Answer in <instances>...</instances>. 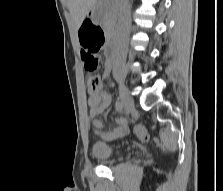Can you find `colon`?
Wrapping results in <instances>:
<instances>
[{
  "label": "colon",
  "instance_id": "5ec220e1",
  "mask_svg": "<svg viewBox=\"0 0 223 191\" xmlns=\"http://www.w3.org/2000/svg\"><path fill=\"white\" fill-rule=\"evenodd\" d=\"M79 37L82 45L81 59L85 69L91 73L88 78V87L95 90L100 85V78L95 71L100 62L98 52L104 43V34L99 28L85 27L81 29ZM134 131L142 141H150L143 127L136 126Z\"/></svg>",
  "mask_w": 223,
  "mask_h": 191
}]
</instances>
